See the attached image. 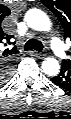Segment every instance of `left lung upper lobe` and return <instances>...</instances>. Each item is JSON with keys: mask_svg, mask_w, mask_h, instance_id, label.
Wrapping results in <instances>:
<instances>
[{"mask_svg": "<svg viewBox=\"0 0 71 119\" xmlns=\"http://www.w3.org/2000/svg\"><path fill=\"white\" fill-rule=\"evenodd\" d=\"M61 22L65 33L64 37L71 39V0H41ZM64 64L71 66V61H63ZM62 63V64H63Z\"/></svg>", "mask_w": 71, "mask_h": 119, "instance_id": "5c2ea615", "label": "left lung upper lobe"}]
</instances>
